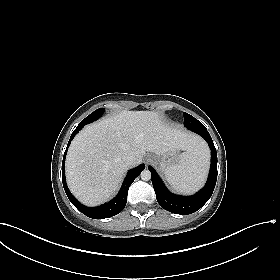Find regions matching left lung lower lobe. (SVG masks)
I'll return each mask as SVG.
<instances>
[{"instance_id":"1","label":"left lung lower lobe","mask_w":280,"mask_h":280,"mask_svg":"<svg viewBox=\"0 0 280 280\" xmlns=\"http://www.w3.org/2000/svg\"><path fill=\"white\" fill-rule=\"evenodd\" d=\"M190 130L198 133L208 143L211 150V167L208 180L203 189L193 196H179L172 194L165 187L153 167L148 166L152 174V184L158 203L162 208L175 214L186 215L199 210L211 197L217 180V153L212 138L204 127H192Z\"/></svg>"}]
</instances>
